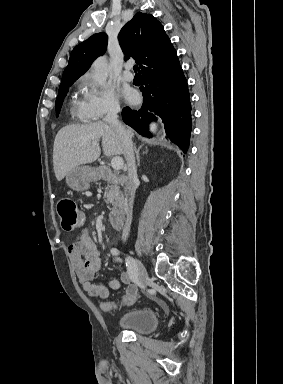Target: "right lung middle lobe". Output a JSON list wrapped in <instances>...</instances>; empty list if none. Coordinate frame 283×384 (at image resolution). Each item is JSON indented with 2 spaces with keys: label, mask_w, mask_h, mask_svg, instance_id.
Wrapping results in <instances>:
<instances>
[{
  "label": "right lung middle lobe",
  "mask_w": 283,
  "mask_h": 384,
  "mask_svg": "<svg viewBox=\"0 0 283 384\" xmlns=\"http://www.w3.org/2000/svg\"><path fill=\"white\" fill-rule=\"evenodd\" d=\"M74 82H70V83H63V84H60V87H59V92H58V96H57V99H56V106H55V109H56V115L58 116L59 112H60V109H61V106H62V102L69 90V87L73 84Z\"/></svg>",
  "instance_id": "obj_1"
}]
</instances>
